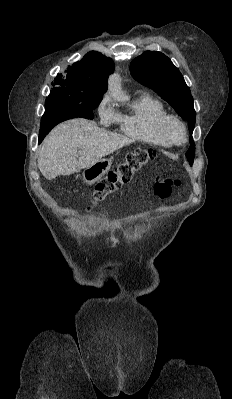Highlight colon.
I'll use <instances>...</instances> for the list:
<instances>
[{
  "instance_id": "colon-1",
  "label": "colon",
  "mask_w": 232,
  "mask_h": 399,
  "mask_svg": "<svg viewBox=\"0 0 232 399\" xmlns=\"http://www.w3.org/2000/svg\"><path fill=\"white\" fill-rule=\"evenodd\" d=\"M148 154L144 150H139L131 154L126 163H115V168H118L114 174H107L108 180H94V190L92 192V203H89L88 213H93L94 203L103 200L113 191H117L121 185H129V180L132 179L140 165H146ZM159 185H183V180H163V175H158ZM172 186H156L152 189V194H167L172 191ZM157 203H162V198H157Z\"/></svg>"
}]
</instances>
